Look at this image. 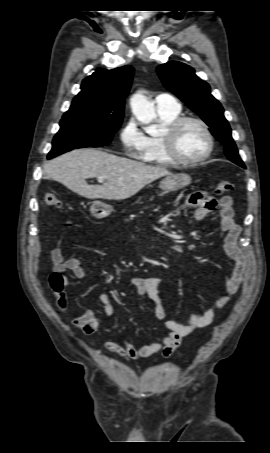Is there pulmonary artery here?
<instances>
[{
    "instance_id": "pulmonary-artery-1",
    "label": "pulmonary artery",
    "mask_w": 270,
    "mask_h": 453,
    "mask_svg": "<svg viewBox=\"0 0 270 453\" xmlns=\"http://www.w3.org/2000/svg\"><path fill=\"white\" fill-rule=\"evenodd\" d=\"M154 102L158 113L176 112L181 108L175 97L168 93L157 95Z\"/></svg>"
}]
</instances>
